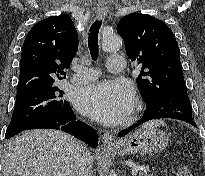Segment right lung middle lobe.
Returning a JSON list of instances; mask_svg holds the SVG:
<instances>
[{
    "label": "right lung middle lobe",
    "instance_id": "1",
    "mask_svg": "<svg viewBox=\"0 0 205 176\" xmlns=\"http://www.w3.org/2000/svg\"><path fill=\"white\" fill-rule=\"evenodd\" d=\"M63 91L57 86L39 88L17 95L12 119L5 138H10L39 120L52 116L69 107L62 100Z\"/></svg>",
    "mask_w": 205,
    "mask_h": 176
}]
</instances>
